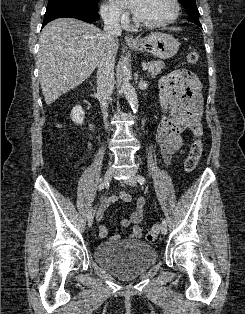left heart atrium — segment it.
I'll return each instance as SVG.
<instances>
[{
	"label": "left heart atrium",
	"mask_w": 245,
	"mask_h": 314,
	"mask_svg": "<svg viewBox=\"0 0 245 314\" xmlns=\"http://www.w3.org/2000/svg\"><path fill=\"white\" fill-rule=\"evenodd\" d=\"M112 1L117 6L124 7L132 10L133 12H136L139 9L142 0H112Z\"/></svg>",
	"instance_id": "left-heart-atrium-1"
}]
</instances>
